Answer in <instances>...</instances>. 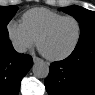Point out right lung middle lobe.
Listing matches in <instances>:
<instances>
[{"mask_svg":"<svg viewBox=\"0 0 95 95\" xmlns=\"http://www.w3.org/2000/svg\"><path fill=\"white\" fill-rule=\"evenodd\" d=\"M16 6H1L0 7V39H9L7 24L17 12Z\"/></svg>","mask_w":95,"mask_h":95,"instance_id":"1","label":"right lung middle lobe"}]
</instances>
